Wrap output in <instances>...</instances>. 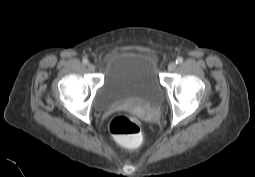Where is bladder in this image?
I'll return each mask as SVG.
<instances>
[{
	"label": "bladder",
	"instance_id": "31cf9c89",
	"mask_svg": "<svg viewBox=\"0 0 255 177\" xmlns=\"http://www.w3.org/2000/svg\"><path fill=\"white\" fill-rule=\"evenodd\" d=\"M164 99L163 86L156 70V58L150 51H123L107 63L99 87L95 108L104 112L126 102L159 105Z\"/></svg>",
	"mask_w": 255,
	"mask_h": 177
}]
</instances>
